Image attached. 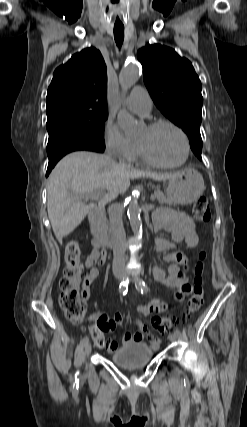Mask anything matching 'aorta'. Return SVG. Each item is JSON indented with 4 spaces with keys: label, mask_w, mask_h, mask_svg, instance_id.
Returning a JSON list of instances; mask_svg holds the SVG:
<instances>
[{
    "label": "aorta",
    "mask_w": 247,
    "mask_h": 427,
    "mask_svg": "<svg viewBox=\"0 0 247 427\" xmlns=\"http://www.w3.org/2000/svg\"><path fill=\"white\" fill-rule=\"evenodd\" d=\"M138 77L139 66L136 62H130L125 65L119 75L121 89H130L136 83ZM117 120L120 128L124 131L126 136L132 137L140 132L139 123L127 111H120L118 113ZM140 214L141 209L138 204V199L134 196L129 202L127 215L133 233L138 236L142 235V220Z\"/></svg>",
    "instance_id": "1"
}]
</instances>
